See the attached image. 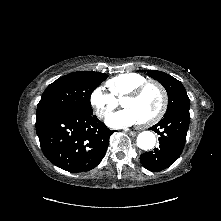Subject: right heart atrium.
I'll return each mask as SVG.
<instances>
[{
  "label": "right heart atrium",
  "instance_id": "1",
  "mask_svg": "<svg viewBox=\"0 0 221 221\" xmlns=\"http://www.w3.org/2000/svg\"><path fill=\"white\" fill-rule=\"evenodd\" d=\"M90 104L99 118H105L118 106L117 101L101 88H96L92 91Z\"/></svg>",
  "mask_w": 221,
  "mask_h": 221
}]
</instances>
